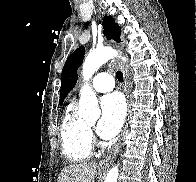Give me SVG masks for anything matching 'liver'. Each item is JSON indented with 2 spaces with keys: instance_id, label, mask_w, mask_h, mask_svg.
<instances>
[{
  "instance_id": "liver-1",
  "label": "liver",
  "mask_w": 196,
  "mask_h": 182,
  "mask_svg": "<svg viewBox=\"0 0 196 182\" xmlns=\"http://www.w3.org/2000/svg\"><path fill=\"white\" fill-rule=\"evenodd\" d=\"M97 164L81 162L64 167L57 182H94Z\"/></svg>"
}]
</instances>
